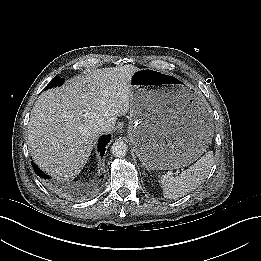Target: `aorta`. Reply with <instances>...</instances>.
Wrapping results in <instances>:
<instances>
[{
	"label": "aorta",
	"mask_w": 261,
	"mask_h": 261,
	"mask_svg": "<svg viewBox=\"0 0 261 261\" xmlns=\"http://www.w3.org/2000/svg\"><path fill=\"white\" fill-rule=\"evenodd\" d=\"M111 151L115 157L122 158L128 152V145L122 140H117L112 144Z\"/></svg>",
	"instance_id": "aorta-1"
}]
</instances>
